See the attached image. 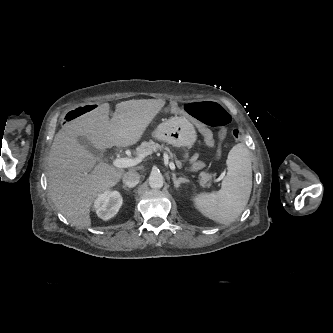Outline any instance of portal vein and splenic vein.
<instances>
[{
    "instance_id": "portal-vein-and-splenic-vein-1",
    "label": "portal vein and splenic vein",
    "mask_w": 333,
    "mask_h": 333,
    "mask_svg": "<svg viewBox=\"0 0 333 333\" xmlns=\"http://www.w3.org/2000/svg\"><path fill=\"white\" fill-rule=\"evenodd\" d=\"M146 154H140L135 158H117L113 161V165L117 168H128L140 164L145 158ZM165 163L169 165L171 170H175V164L169 162L168 157L165 158Z\"/></svg>"
}]
</instances>
